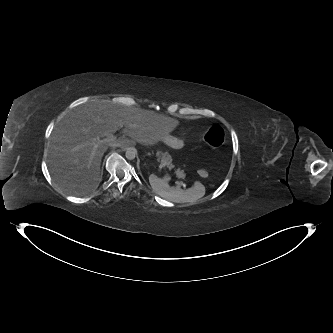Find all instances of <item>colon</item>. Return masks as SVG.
Returning a JSON list of instances; mask_svg holds the SVG:
<instances>
[{
  "label": "colon",
  "mask_w": 333,
  "mask_h": 333,
  "mask_svg": "<svg viewBox=\"0 0 333 333\" xmlns=\"http://www.w3.org/2000/svg\"><path fill=\"white\" fill-rule=\"evenodd\" d=\"M201 135L204 141L213 148L220 147L224 142V131L216 124L203 127ZM198 174L201 177L207 176V172L204 169L199 170Z\"/></svg>",
  "instance_id": "obj_1"
}]
</instances>
